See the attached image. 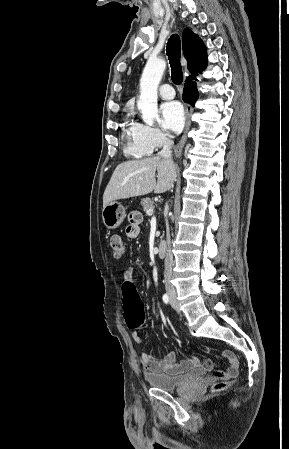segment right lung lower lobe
<instances>
[{
  "mask_svg": "<svg viewBox=\"0 0 289 449\" xmlns=\"http://www.w3.org/2000/svg\"><path fill=\"white\" fill-rule=\"evenodd\" d=\"M197 79L195 77H188L184 85L183 100L192 106L198 99L199 93L197 90Z\"/></svg>",
  "mask_w": 289,
  "mask_h": 449,
  "instance_id": "1",
  "label": "right lung lower lobe"
}]
</instances>
